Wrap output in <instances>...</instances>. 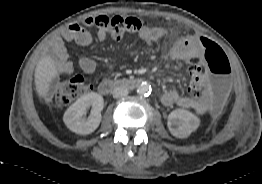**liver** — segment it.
<instances>
[{"label": "liver", "instance_id": "1", "mask_svg": "<svg viewBox=\"0 0 262 184\" xmlns=\"http://www.w3.org/2000/svg\"><path fill=\"white\" fill-rule=\"evenodd\" d=\"M58 76L55 61L47 55L40 59L35 69V86L38 95L47 100L51 84Z\"/></svg>", "mask_w": 262, "mask_h": 184}]
</instances>
